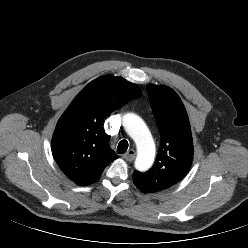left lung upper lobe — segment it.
<instances>
[{
  "label": "left lung upper lobe",
  "instance_id": "left-lung-upper-lobe-1",
  "mask_svg": "<svg viewBox=\"0 0 248 248\" xmlns=\"http://www.w3.org/2000/svg\"><path fill=\"white\" fill-rule=\"evenodd\" d=\"M147 90L156 118L161 144L155 164L147 172L134 171V184L144 193L166 190L190 170L193 140L186 109L171 88L149 84Z\"/></svg>",
  "mask_w": 248,
  "mask_h": 248
}]
</instances>
